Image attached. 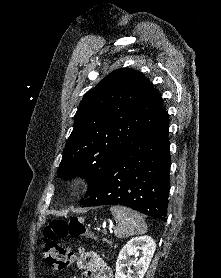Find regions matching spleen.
<instances>
[{
    "label": "spleen",
    "instance_id": "spleen-1",
    "mask_svg": "<svg viewBox=\"0 0 221 278\" xmlns=\"http://www.w3.org/2000/svg\"><path fill=\"white\" fill-rule=\"evenodd\" d=\"M110 211L114 219L118 222L114 230L116 237L126 238L146 233L147 225L136 211L124 206H111Z\"/></svg>",
    "mask_w": 221,
    "mask_h": 278
}]
</instances>
